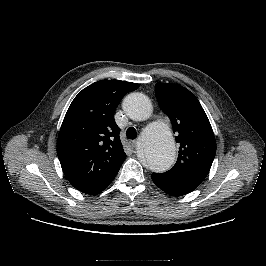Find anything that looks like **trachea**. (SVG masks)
I'll list each match as a JSON object with an SVG mask.
<instances>
[{
  "label": "trachea",
  "mask_w": 266,
  "mask_h": 266,
  "mask_svg": "<svg viewBox=\"0 0 266 266\" xmlns=\"http://www.w3.org/2000/svg\"><path fill=\"white\" fill-rule=\"evenodd\" d=\"M126 136L128 139H136L137 137V131L133 127H129L126 131Z\"/></svg>",
  "instance_id": "trachea-1"
}]
</instances>
